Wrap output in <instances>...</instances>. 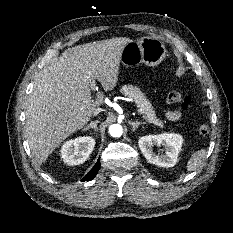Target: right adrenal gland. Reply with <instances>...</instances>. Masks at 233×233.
Instances as JSON below:
<instances>
[{
	"mask_svg": "<svg viewBox=\"0 0 233 233\" xmlns=\"http://www.w3.org/2000/svg\"><path fill=\"white\" fill-rule=\"evenodd\" d=\"M99 123V121H91L84 129H82V131H86L89 130L90 128L94 129L95 131H97V124Z\"/></svg>",
	"mask_w": 233,
	"mask_h": 233,
	"instance_id": "2a0ac1e0",
	"label": "right adrenal gland"
}]
</instances>
